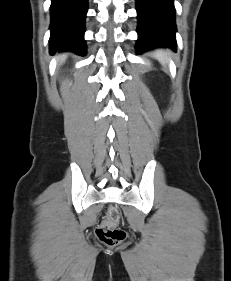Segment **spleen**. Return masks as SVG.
<instances>
[{"label":"spleen","instance_id":"obj_1","mask_svg":"<svg viewBox=\"0 0 231 281\" xmlns=\"http://www.w3.org/2000/svg\"><path fill=\"white\" fill-rule=\"evenodd\" d=\"M169 55V53L167 51H163V50H157L154 52V56L162 63V64H166L167 62V56Z\"/></svg>","mask_w":231,"mask_h":281}]
</instances>
